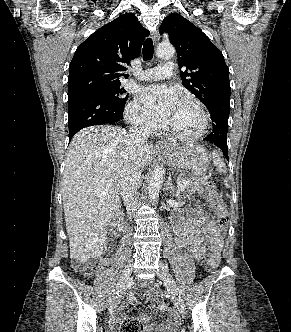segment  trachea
Listing matches in <instances>:
<instances>
[{
  "mask_svg": "<svg viewBox=\"0 0 291 332\" xmlns=\"http://www.w3.org/2000/svg\"><path fill=\"white\" fill-rule=\"evenodd\" d=\"M153 58V41L147 38L143 45V60L148 61Z\"/></svg>",
  "mask_w": 291,
  "mask_h": 332,
  "instance_id": "1",
  "label": "trachea"
}]
</instances>
